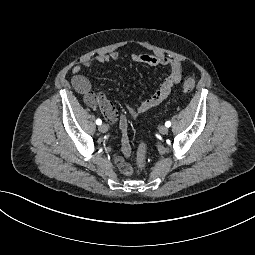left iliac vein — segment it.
I'll use <instances>...</instances> for the list:
<instances>
[{
	"instance_id": "1",
	"label": "left iliac vein",
	"mask_w": 255,
	"mask_h": 255,
	"mask_svg": "<svg viewBox=\"0 0 255 255\" xmlns=\"http://www.w3.org/2000/svg\"><path fill=\"white\" fill-rule=\"evenodd\" d=\"M168 131H169L168 127H166L164 125L159 127V133L162 134V135L167 134Z\"/></svg>"
}]
</instances>
